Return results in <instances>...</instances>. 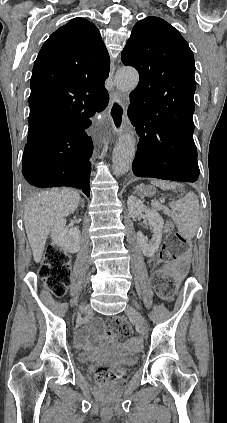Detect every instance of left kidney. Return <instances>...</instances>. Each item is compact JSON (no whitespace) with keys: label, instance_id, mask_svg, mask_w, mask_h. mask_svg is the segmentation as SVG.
<instances>
[{"label":"left kidney","instance_id":"5707ae66","mask_svg":"<svg viewBox=\"0 0 227 423\" xmlns=\"http://www.w3.org/2000/svg\"><path fill=\"white\" fill-rule=\"evenodd\" d=\"M127 206L129 215H131V217H137V215H140L141 211H145V215L148 217L149 225L153 227L154 233L150 241H148L146 235H144L142 231H137V241L144 255H146V257H152L161 243L164 219L161 217L158 211L149 210V208L144 206L143 202L138 200V198H135V196H129L127 200Z\"/></svg>","mask_w":227,"mask_h":423}]
</instances>
